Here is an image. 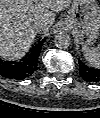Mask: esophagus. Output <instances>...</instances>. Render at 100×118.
Wrapping results in <instances>:
<instances>
[{"label":"esophagus","mask_w":100,"mask_h":118,"mask_svg":"<svg viewBox=\"0 0 100 118\" xmlns=\"http://www.w3.org/2000/svg\"><path fill=\"white\" fill-rule=\"evenodd\" d=\"M56 30L58 32H65L67 31V22L66 21H61L56 25Z\"/></svg>","instance_id":"obj_1"}]
</instances>
